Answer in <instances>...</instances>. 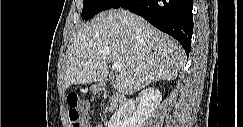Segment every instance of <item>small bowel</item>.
<instances>
[{"instance_id":"obj_1","label":"small bowel","mask_w":243,"mask_h":127,"mask_svg":"<svg viewBox=\"0 0 243 127\" xmlns=\"http://www.w3.org/2000/svg\"><path fill=\"white\" fill-rule=\"evenodd\" d=\"M85 123V126L84 127H90V125L88 124V122H84Z\"/></svg>"}]
</instances>
